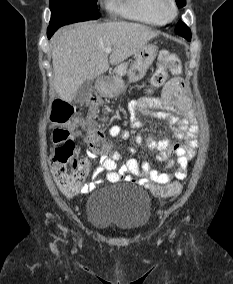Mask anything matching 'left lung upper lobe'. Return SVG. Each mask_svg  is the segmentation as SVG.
Masks as SVG:
<instances>
[{"label": "left lung upper lobe", "instance_id": "5c2ea615", "mask_svg": "<svg viewBox=\"0 0 233 284\" xmlns=\"http://www.w3.org/2000/svg\"><path fill=\"white\" fill-rule=\"evenodd\" d=\"M176 3H177V6L181 8L186 5V0H176ZM176 34L184 37L188 41L191 40V31L189 27L182 21H179L177 23Z\"/></svg>", "mask_w": 233, "mask_h": 284}]
</instances>
